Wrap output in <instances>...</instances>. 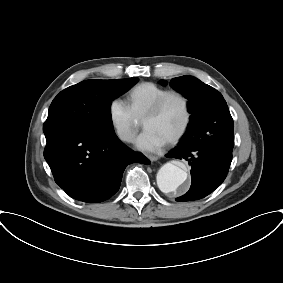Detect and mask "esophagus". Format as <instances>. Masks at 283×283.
<instances>
[{
	"instance_id": "obj_1",
	"label": "esophagus",
	"mask_w": 283,
	"mask_h": 283,
	"mask_svg": "<svg viewBox=\"0 0 283 283\" xmlns=\"http://www.w3.org/2000/svg\"><path fill=\"white\" fill-rule=\"evenodd\" d=\"M148 158L151 162L158 160V156L155 155H149Z\"/></svg>"
}]
</instances>
